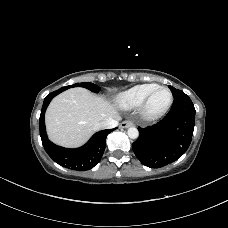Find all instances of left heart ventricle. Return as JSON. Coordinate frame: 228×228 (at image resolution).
<instances>
[{"mask_svg":"<svg viewBox=\"0 0 228 228\" xmlns=\"http://www.w3.org/2000/svg\"><path fill=\"white\" fill-rule=\"evenodd\" d=\"M170 101V94L165 89L158 90L150 100L148 109L151 113L163 110Z\"/></svg>","mask_w":228,"mask_h":228,"instance_id":"left-heart-ventricle-1","label":"left heart ventricle"}]
</instances>
